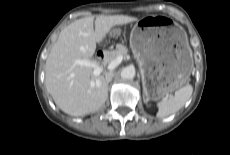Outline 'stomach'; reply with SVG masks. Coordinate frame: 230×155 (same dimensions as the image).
I'll list each match as a JSON object with an SVG mask.
<instances>
[{"instance_id": "obj_1", "label": "stomach", "mask_w": 230, "mask_h": 155, "mask_svg": "<svg viewBox=\"0 0 230 155\" xmlns=\"http://www.w3.org/2000/svg\"><path fill=\"white\" fill-rule=\"evenodd\" d=\"M130 47L139 64L145 100L163 99L188 82L192 50L185 31L171 18L152 15L137 20Z\"/></svg>"}]
</instances>
